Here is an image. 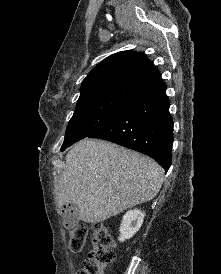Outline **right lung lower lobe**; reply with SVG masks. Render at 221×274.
Wrapping results in <instances>:
<instances>
[{
    "label": "right lung lower lobe",
    "mask_w": 221,
    "mask_h": 274,
    "mask_svg": "<svg viewBox=\"0 0 221 274\" xmlns=\"http://www.w3.org/2000/svg\"><path fill=\"white\" fill-rule=\"evenodd\" d=\"M165 83L134 99L90 138L108 140L143 153L167 172L171 165L173 121Z\"/></svg>",
    "instance_id": "obj_1"
}]
</instances>
